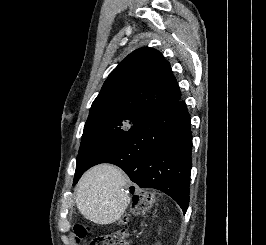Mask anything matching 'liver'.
Segmentation results:
<instances>
[{"mask_svg": "<svg viewBox=\"0 0 266 245\" xmlns=\"http://www.w3.org/2000/svg\"><path fill=\"white\" fill-rule=\"evenodd\" d=\"M127 175L113 165H97L81 177L76 189V205L81 215L97 223L111 225L124 215L130 199L125 193Z\"/></svg>", "mask_w": 266, "mask_h": 245, "instance_id": "1", "label": "liver"}]
</instances>
